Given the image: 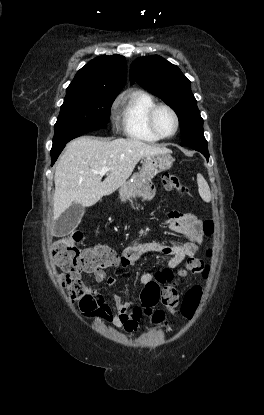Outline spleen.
<instances>
[{
  "mask_svg": "<svg viewBox=\"0 0 264 415\" xmlns=\"http://www.w3.org/2000/svg\"><path fill=\"white\" fill-rule=\"evenodd\" d=\"M197 184H198V192H199L201 198L205 202H210L211 193H210L209 185H208L207 181L205 180V178L203 177V175L200 174V173L197 174Z\"/></svg>",
  "mask_w": 264,
  "mask_h": 415,
  "instance_id": "spleen-1",
  "label": "spleen"
}]
</instances>
